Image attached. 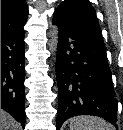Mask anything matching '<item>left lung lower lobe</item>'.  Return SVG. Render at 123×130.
<instances>
[{
  "label": "left lung lower lobe",
  "mask_w": 123,
  "mask_h": 130,
  "mask_svg": "<svg viewBox=\"0 0 123 130\" xmlns=\"http://www.w3.org/2000/svg\"><path fill=\"white\" fill-rule=\"evenodd\" d=\"M53 23L59 29L56 129L81 114L104 117L117 127L118 103L103 39L80 30L58 9Z\"/></svg>",
  "instance_id": "obj_1"
}]
</instances>
